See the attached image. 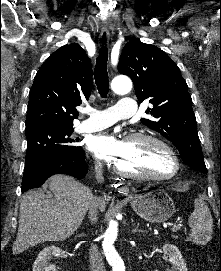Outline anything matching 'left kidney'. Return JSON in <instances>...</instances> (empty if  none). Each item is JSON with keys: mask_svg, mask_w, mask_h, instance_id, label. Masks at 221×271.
<instances>
[{"mask_svg": "<svg viewBox=\"0 0 221 271\" xmlns=\"http://www.w3.org/2000/svg\"><path fill=\"white\" fill-rule=\"evenodd\" d=\"M159 251H163L165 257H168V261H171V269H168V271H187L185 259H183V255L176 245L165 243Z\"/></svg>", "mask_w": 221, "mask_h": 271, "instance_id": "left-kidney-1", "label": "left kidney"}]
</instances>
